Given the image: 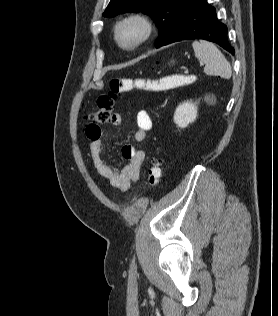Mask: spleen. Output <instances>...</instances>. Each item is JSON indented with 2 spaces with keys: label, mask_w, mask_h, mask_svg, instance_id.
Segmentation results:
<instances>
[{
  "label": "spleen",
  "mask_w": 278,
  "mask_h": 316,
  "mask_svg": "<svg viewBox=\"0 0 278 316\" xmlns=\"http://www.w3.org/2000/svg\"><path fill=\"white\" fill-rule=\"evenodd\" d=\"M195 56L205 63L204 72L207 75H218L223 78H230L232 69L221 51L208 41L193 42Z\"/></svg>",
  "instance_id": "spleen-1"
}]
</instances>
